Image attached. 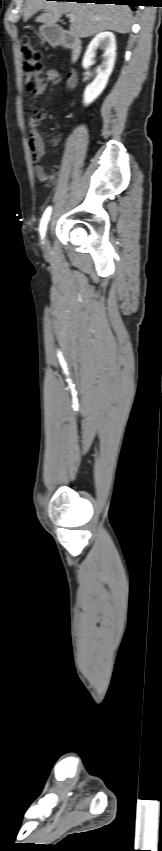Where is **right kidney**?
<instances>
[{
	"mask_svg": "<svg viewBox=\"0 0 162 851\" xmlns=\"http://www.w3.org/2000/svg\"><path fill=\"white\" fill-rule=\"evenodd\" d=\"M98 48L104 50L103 63L99 67L96 78L85 88L83 103L86 106L93 102L102 93L114 68L116 58V41L114 34L108 31L101 32L92 39L83 57L82 66L84 69H88L90 67Z\"/></svg>",
	"mask_w": 162,
	"mask_h": 851,
	"instance_id": "right-kidney-1",
	"label": "right kidney"
}]
</instances>
